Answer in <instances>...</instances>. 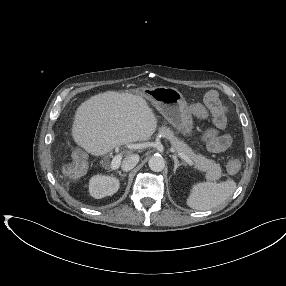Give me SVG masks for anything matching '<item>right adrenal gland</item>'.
I'll list each match as a JSON object with an SVG mask.
<instances>
[{
	"mask_svg": "<svg viewBox=\"0 0 286 286\" xmlns=\"http://www.w3.org/2000/svg\"><path fill=\"white\" fill-rule=\"evenodd\" d=\"M118 174L122 177V178H124V177H126L127 176V174L126 173H121V171H118Z\"/></svg>",
	"mask_w": 286,
	"mask_h": 286,
	"instance_id": "1",
	"label": "right adrenal gland"
}]
</instances>
